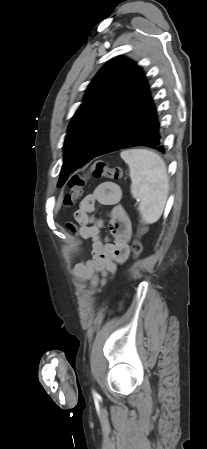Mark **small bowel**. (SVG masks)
<instances>
[{"label": "small bowel", "instance_id": "small-bowel-1", "mask_svg": "<svg viewBox=\"0 0 207 449\" xmlns=\"http://www.w3.org/2000/svg\"><path fill=\"white\" fill-rule=\"evenodd\" d=\"M121 199L120 187L112 182H104L82 200L79 209L73 214L75 223L67 225L76 237L78 246H82L85 239L92 240V258L80 260L69 267L74 279L77 282H88L91 290L104 285L116 272L117 266L129 257L132 229ZM97 204L112 206L109 229L113 241L101 236L103 221L93 216Z\"/></svg>", "mask_w": 207, "mask_h": 449}]
</instances>
